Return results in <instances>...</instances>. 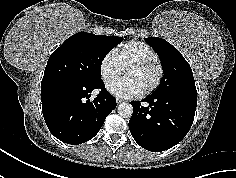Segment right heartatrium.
Returning <instances> with one entry per match:
<instances>
[{"instance_id": "1", "label": "right heart atrium", "mask_w": 236, "mask_h": 178, "mask_svg": "<svg viewBox=\"0 0 236 178\" xmlns=\"http://www.w3.org/2000/svg\"><path fill=\"white\" fill-rule=\"evenodd\" d=\"M122 70L113 51L107 52L99 62L100 76L105 84L115 80L122 73Z\"/></svg>"}]
</instances>
